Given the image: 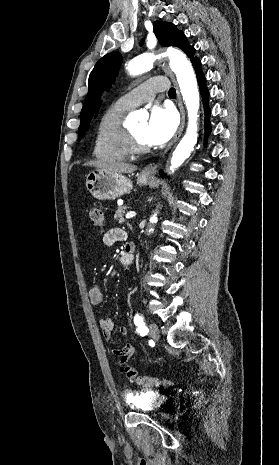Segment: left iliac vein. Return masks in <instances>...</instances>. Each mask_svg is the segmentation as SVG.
Wrapping results in <instances>:
<instances>
[{"label": "left iliac vein", "instance_id": "1", "mask_svg": "<svg viewBox=\"0 0 279 465\" xmlns=\"http://www.w3.org/2000/svg\"><path fill=\"white\" fill-rule=\"evenodd\" d=\"M149 335L153 339H156V340L159 339V328L156 323H151L149 325Z\"/></svg>", "mask_w": 279, "mask_h": 465}]
</instances>
